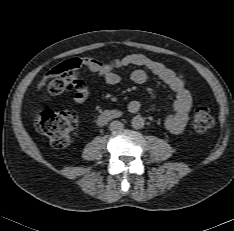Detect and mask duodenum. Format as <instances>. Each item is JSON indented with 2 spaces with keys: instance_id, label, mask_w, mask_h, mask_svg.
I'll return each instance as SVG.
<instances>
[{
  "instance_id": "obj_1",
  "label": "duodenum",
  "mask_w": 234,
  "mask_h": 231,
  "mask_svg": "<svg viewBox=\"0 0 234 231\" xmlns=\"http://www.w3.org/2000/svg\"><path fill=\"white\" fill-rule=\"evenodd\" d=\"M121 115V113L117 110H104L99 114L97 121L100 124L106 123L114 118H117Z\"/></svg>"
}]
</instances>
